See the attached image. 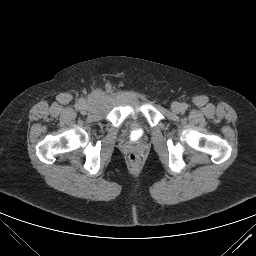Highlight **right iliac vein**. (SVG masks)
Here are the masks:
<instances>
[{
	"instance_id": "right-iliac-vein-1",
	"label": "right iliac vein",
	"mask_w": 256,
	"mask_h": 256,
	"mask_svg": "<svg viewBox=\"0 0 256 256\" xmlns=\"http://www.w3.org/2000/svg\"><path fill=\"white\" fill-rule=\"evenodd\" d=\"M80 109L82 114H86L89 111L90 106L89 104L83 103Z\"/></svg>"
}]
</instances>
